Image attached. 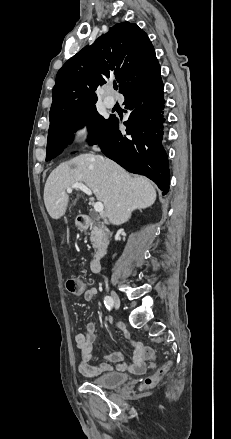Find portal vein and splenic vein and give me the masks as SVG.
Listing matches in <instances>:
<instances>
[{"instance_id": "18ae733b", "label": "portal vein and splenic vein", "mask_w": 231, "mask_h": 439, "mask_svg": "<svg viewBox=\"0 0 231 439\" xmlns=\"http://www.w3.org/2000/svg\"><path fill=\"white\" fill-rule=\"evenodd\" d=\"M73 189H80L81 191H83L84 193H86L87 195L91 196L92 195V191L84 184L82 183H74L71 187L67 188V193H72ZM94 210L97 213L102 214L104 212V205L102 202H95L94 205Z\"/></svg>"}]
</instances>
